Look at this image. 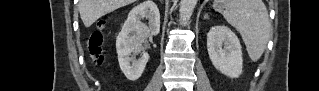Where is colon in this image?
Segmentation results:
<instances>
[{
	"instance_id": "colon-1",
	"label": "colon",
	"mask_w": 319,
	"mask_h": 91,
	"mask_svg": "<svg viewBox=\"0 0 319 91\" xmlns=\"http://www.w3.org/2000/svg\"><path fill=\"white\" fill-rule=\"evenodd\" d=\"M104 23L98 24L96 29L90 34L87 39V48L90 55L98 62L102 61V44H103V29Z\"/></svg>"
}]
</instances>
